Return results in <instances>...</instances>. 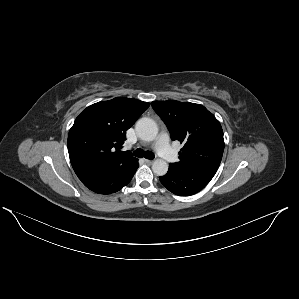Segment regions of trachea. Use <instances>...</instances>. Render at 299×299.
Here are the masks:
<instances>
[{"label": "trachea", "instance_id": "obj_1", "mask_svg": "<svg viewBox=\"0 0 299 299\" xmlns=\"http://www.w3.org/2000/svg\"><path fill=\"white\" fill-rule=\"evenodd\" d=\"M133 155L139 158H143L145 157L146 159H153L154 158V154L150 151H144L141 148H138L137 150H135L133 152Z\"/></svg>", "mask_w": 299, "mask_h": 299}]
</instances>
